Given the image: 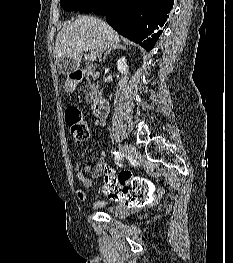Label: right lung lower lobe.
Masks as SVG:
<instances>
[{"mask_svg": "<svg viewBox=\"0 0 233 263\" xmlns=\"http://www.w3.org/2000/svg\"><path fill=\"white\" fill-rule=\"evenodd\" d=\"M173 7V0H103L92 11L105 15L122 36L151 50Z\"/></svg>", "mask_w": 233, "mask_h": 263, "instance_id": "98d812e1", "label": "right lung lower lobe"}]
</instances>
